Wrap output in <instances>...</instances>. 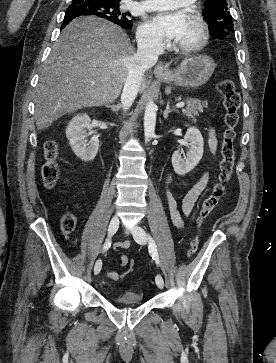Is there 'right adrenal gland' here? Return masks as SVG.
Listing matches in <instances>:
<instances>
[{
  "label": "right adrenal gland",
  "mask_w": 276,
  "mask_h": 363,
  "mask_svg": "<svg viewBox=\"0 0 276 363\" xmlns=\"http://www.w3.org/2000/svg\"><path fill=\"white\" fill-rule=\"evenodd\" d=\"M108 108H111V110L115 113H117L121 109V105H107Z\"/></svg>",
  "instance_id": "1"
}]
</instances>
